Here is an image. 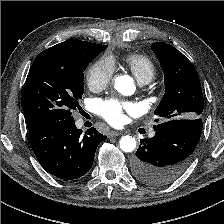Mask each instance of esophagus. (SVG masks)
Listing matches in <instances>:
<instances>
[{
	"instance_id": "1",
	"label": "esophagus",
	"mask_w": 224,
	"mask_h": 224,
	"mask_svg": "<svg viewBox=\"0 0 224 224\" xmlns=\"http://www.w3.org/2000/svg\"><path fill=\"white\" fill-rule=\"evenodd\" d=\"M122 133L121 132H118V131H111L110 133H109V136L110 137H116V136H119V135H121Z\"/></svg>"
}]
</instances>
